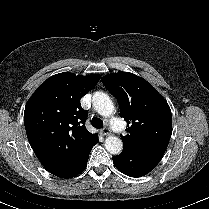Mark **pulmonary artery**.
Here are the masks:
<instances>
[{"instance_id":"obj_1","label":"pulmonary artery","mask_w":209,"mask_h":209,"mask_svg":"<svg viewBox=\"0 0 209 209\" xmlns=\"http://www.w3.org/2000/svg\"><path fill=\"white\" fill-rule=\"evenodd\" d=\"M111 126L116 133L120 134L123 132V126H122V123L119 120V118H117V117L113 118L111 120Z\"/></svg>"}]
</instances>
